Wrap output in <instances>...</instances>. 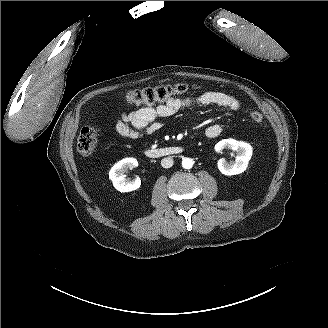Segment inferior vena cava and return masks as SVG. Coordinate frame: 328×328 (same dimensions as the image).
<instances>
[{
    "instance_id": "inferior-vena-cava-1",
    "label": "inferior vena cava",
    "mask_w": 328,
    "mask_h": 328,
    "mask_svg": "<svg viewBox=\"0 0 328 328\" xmlns=\"http://www.w3.org/2000/svg\"><path fill=\"white\" fill-rule=\"evenodd\" d=\"M161 166L163 168H170L173 166V159L172 158H164L161 160Z\"/></svg>"
}]
</instances>
